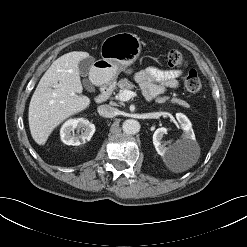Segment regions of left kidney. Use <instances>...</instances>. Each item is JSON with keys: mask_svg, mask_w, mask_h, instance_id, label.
<instances>
[{"mask_svg": "<svg viewBox=\"0 0 247 247\" xmlns=\"http://www.w3.org/2000/svg\"><path fill=\"white\" fill-rule=\"evenodd\" d=\"M176 118L184 133L182 139L177 140L172 146L166 147L161 143L163 135L167 133V128H158L153 134L154 147L157 153L165 158H169L182 150H190L197 146L195 134L189 119L182 113H177Z\"/></svg>", "mask_w": 247, "mask_h": 247, "instance_id": "left-kidney-1", "label": "left kidney"}]
</instances>
